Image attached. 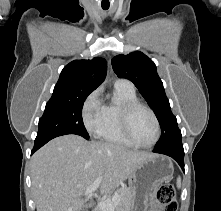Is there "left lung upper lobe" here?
<instances>
[{
  "label": "left lung upper lobe",
  "mask_w": 221,
  "mask_h": 211,
  "mask_svg": "<svg viewBox=\"0 0 221 211\" xmlns=\"http://www.w3.org/2000/svg\"><path fill=\"white\" fill-rule=\"evenodd\" d=\"M112 66L118 77L129 79L135 84L154 111L161 127V137L155 149L181 144V131L176 117L171 112L154 62L142 52L136 51L115 56Z\"/></svg>",
  "instance_id": "1"
}]
</instances>
